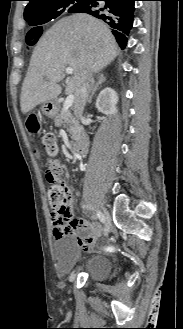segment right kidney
Instances as JSON below:
<instances>
[{
  "label": "right kidney",
  "mask_w": 183,
  "mask_h": 329,
  "mask_svg": "<svg viewBox=\"0 0 183 329\" xmlns=\"http://www.w3.org/2000/svg\"><path fill=\"white\" fill-rule=\"evenodd\" d=\"M117 102V93L113 89L107 87L99 93L95 105L101 113L105 115H115L118 112L116 107Z\"/></svg>",
  "instance_id": "ca27d5eb"
}]
</instances>
